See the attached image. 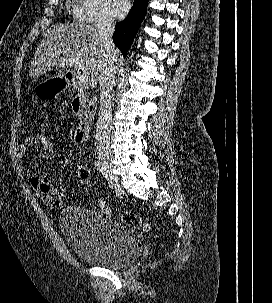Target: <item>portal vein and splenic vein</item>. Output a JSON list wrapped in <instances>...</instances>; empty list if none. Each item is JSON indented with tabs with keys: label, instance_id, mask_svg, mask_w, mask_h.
<instances>
[{
	"label": "portal vein and splenic vein",
	"instance_id": "obj_1",
	"mask_svg": "<svg viewBox=\"0 0 272 303\" xmlns=\"http://www.w3.org/2000/svg\"><path fill=\"white\" fill-rule=\"evenodd\" d=\"M68 61L71 63H77L76 60H72V59L66 60V62H68ZM64 63H65V61H63V64ZM78 78H79L80 83H82L84 85L89 83V77L87 75L80 74Z\"/></svg>",
	"mask_w": 272,
	"mask_h": 303
}]
</instances>
